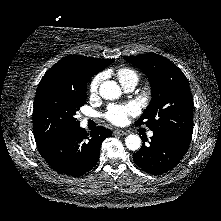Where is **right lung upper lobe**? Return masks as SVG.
Segmentation results:
<instances>
[{"label":"right lung upper lobe","mask_w":221,"mask_h":221,"mask_svg":"<svg viewBox=\"0 0 221 221\" xmlns=\"http://www.w3.org/2000/svg\"><path fill=\"white\" fill-rule=\"evenodd\" d=\"M113 59L69 55L58 61L41 79L39 85L53 83L72 88L86 86L89 79L103 70Z\"/></svg>","instance_id":"obj_1"}]
</instances>
